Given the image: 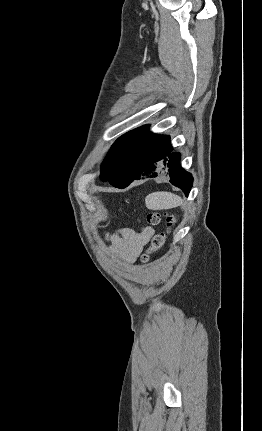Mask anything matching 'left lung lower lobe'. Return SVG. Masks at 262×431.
<instances>
[{"instance_id": "0a47b994", "label": "left lung lower lobe", "mask_w": 262, "mask_h": 431, "mask_svg": "<svg viewBox=\"0 0 262 431\" xmlns=\"http://www.w3.org/2000/svg\"><path fill=\"white\" fill-rule=\"evenodd\" d=\"M169 136H157L147 141L136 153L131 165V177L117 188L127 187L133 180L143 177H157L163 172L170 182L182 189L187 196L192 188L193 177L180 165L181 155L172 152Z\"/></svg>"}]
</instances>
